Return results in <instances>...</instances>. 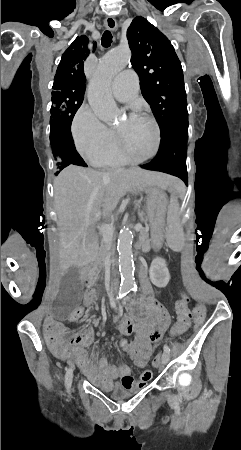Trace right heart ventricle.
Here are the masks:
<instances>
[{"label":"right heart ventricle","instance_id":"1","mask_svg":"<svg viewBox=\"0 0 241 450\" xmlns=\"http://www.w3.org/2000/svg\"><path fill=\"white\" fill-rule=\"evenodd\" d=\"M104 135L107 137L108 140L107 130L105 131ZM110 141L112 145L111 151L97 158L86 159L90 165L98 167H115V166H122L131 160V157L130 158L120 157L119 154L121 152V149H119L118 147L119 143L117 141H113L112 137L110 138Z\"/></svg>","mask_w":241,"mask_h":450}]
</instances>
